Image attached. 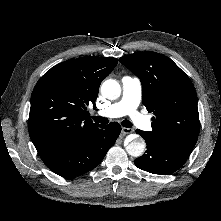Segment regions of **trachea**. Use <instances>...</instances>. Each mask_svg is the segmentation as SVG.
<instances>
[{
  "label": "trachea",
  "instance_id": "1",
  "mask_svg": "<svg viewBox=\"0 0 221 221\" xmlns=\"http://www.w3.org/2000/svg\"><path fill=\"white\" fill-rule=\"evenodd\" d=\"M92 119L95 122L101 123V124H107L109 122L107 118L101 117V116H95V117H92ZM122 126H124L126 128H131L132 127V123L129 120H123L122 121Z\"/></svg>",
  "mask_w": 221,
  "mask_h": 221
}]
</instances>
